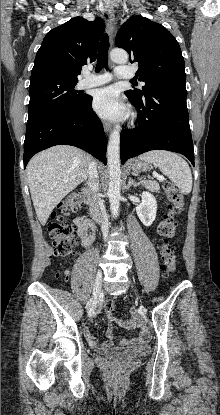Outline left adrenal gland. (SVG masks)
<instances>
[{
    "mask_svg": "<svg viewBox=\"0 0 220 415\" xmlns=\"http://www.w3.org/2000/svg\"><path fill=\"white\" fill-rule=\"evenodd\" d=\"M131 186H138V183H136L132 178H129L128 184H127V189H129Z\"/></svg>",
    "mask_w": 220,
    "mask_h": 415,
    "instance_id": "obj_1",
    "label": "left adrenal gland"
}]
</instances>
